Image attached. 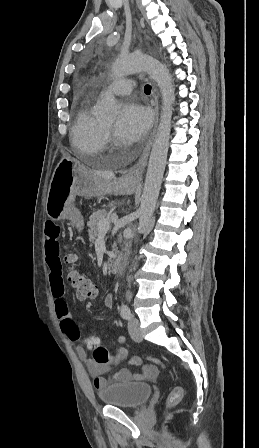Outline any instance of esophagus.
<instances>
[{"label": "esophagus", "mask_w": 259, "mask_h": 448, "mask_svg": "<svg viewBox=\"0 0 259 448\" xmlns=\"http://www.w3.org/2000/svg\"><path fill=\"white\" fill-rule=\"evenodd\" d=\"M152 106H154V110H155L154 129H153V132H152V134L148 140V143H147L145 149L143 150L142 155L140 156L139 160L137 161V163H135V165H133L127 171V173L123 177L129 183L139 184L141 182L142 173L144 171L145 165L148 160V156L150 153V148L152 146L153 136H154L156 128H157L158 116H159V114H158V96L155 94V92L153 94Z\"/></svg>", "instance_id": "1"}]
</instances>
